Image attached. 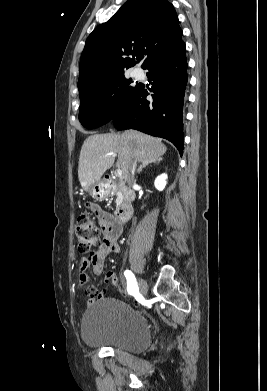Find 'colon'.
<instances>
[{
  "label": "colon",
  "mask_w": 267,
  "mask_h": 391,
  "mask_svg": "<svg viewBox=\"0 0 267 391\" xmlns=\"http://www.w3.org/2000/svg\"><path fill=\"white\" fill-rule=\"evenodd\" d=\"M78 251L81 254H95L102 245V228L87 214H81L75 225ZM115 283L116 281L113 280ZM122 292L124 290L120 288Z\"/></svg>",
  "instance_id": "5ec220e1"
}]
</instances>
